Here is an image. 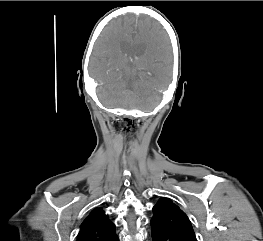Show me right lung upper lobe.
Masks as SVG:
<instances>
[{
    "label": "right lung upper lobe",
    "instance_id": "right-lung-upper-lobe-1",
    "mask_svg": "<svg viewBox=\"0 0 263 241\" xmlns=\"http://www.w3.org/2000/svg\"><path fill=\"white\" fill-rule=\"evenodd\" d=\"M115 225L101 208H96L82 222L77 241H114Z\"/></svg>",
    "mask_w": 263,
    "mask_h": 241
}]
</instances>
